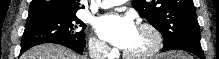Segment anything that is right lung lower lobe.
<instances>
[{"mask_svg":"<svg viewBox=\"0 0 219 59\" xmlns=\"http://www.w3.org/2000/svg\"><path fill=\"white\" fill-rule=\"evenodd\" d=\"M57 44H61L63 46H66L78 53H82L83 52V49L85 46H82V45H79V44H74V43H70V42H60V43H57ZM25 52V51H20V55Z\"/></svg>","mask_w":219,"mask_h":59,"instance_id":"1","label":"right lung lower lobe"}]
</instances>
